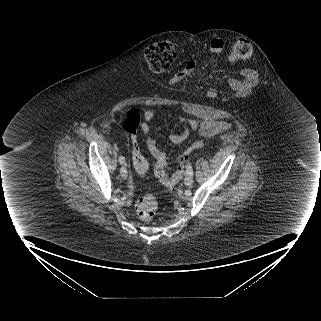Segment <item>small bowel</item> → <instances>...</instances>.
Returning a JSON list of instances; mask_svg holds the SVG:
<instances>
[{"mask_svg":"<svg viewBox=\"0 0 321 321\" xmlns=\"http://www.w3.org/2000/svg\"><path fill=\"white\" fill-rule=\"evenodd\" d=\"M225 43L222 39H212L209 45L210 52L213 54H220L223 52ZM198 63L196 61H189L181 70H179L173 77L172 82L178 83L191 75L197 68ZM240 76L244 78L241 82L238 78H233L229 82V87L238 96H245L252 91L253 85L257 82V76L251 72L249 66H242L240 68ZM154 118V112L148 109L144 112L143 122L140 125V130L143 133H148L150 130L149 123ZM179 122L184 125V129L181 133H173L169 136L171 143L178 145L184 142L191 133H196L199 136L205 138H212L229 129L230 125L221 120H211L207 122H199L196 120L179 117ZM200 142L195 143L193 146L185 149L182 152V156L188 155L193 149L199 147ZM147 147L152 157L155 160V173L166 174V171L173 167V163L169 161L166 153L162 151L154 138H148Z\"/></svg>","mask_w":321,"mask_h":321,"instance_id":"c3829d8e","label":"small bowel"}]
</instances>
